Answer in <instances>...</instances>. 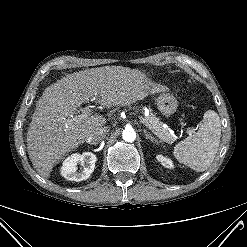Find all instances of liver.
Listing matches in <instances>:
<instances>
[{"label": "liver", "instance_id": "obj_1", "mask_svg": "<svg viewBox=\"0 0 247 247\" xmlns=\"http://www.w3.org/2000/svg\"><path fill=\"white\" fill-rule=\"evenodd\" d=\"M167 88L153 83L138 70L106 66L68 74L47 87L38 100L27 133L29 158L36 171L48 178L54 164L105 125L102 116L81 122L73 115L89 98L105 107L128 106Z\"/></svg>", "mask_w": 247, "mask_h": 247}]
</instances>
